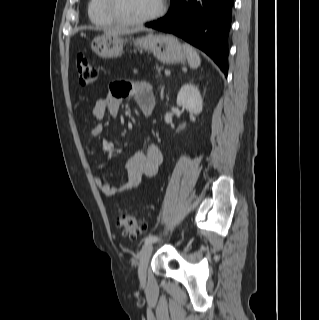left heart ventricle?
Wrapping results in <instances>:
<instances>
[{"instance_id": "left-heart-ventricle-1", "label": "left heart ventricle", "mask_w": 319, "mask_h": 320, "mask_svg": "<svg viewBox=\"0 0 319 320\" xmlns=\"http://www.w3.org/2000/svg\"><path fill=\"white\" fill-rule=\"evenodd\" d=\"M160 0H115L117 12L126 18H142L154 13Z\"/></svg>"}]
</instances>
